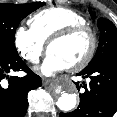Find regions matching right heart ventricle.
<instances>
[{"label": "right heart ventricle", "mask_w": 117, "mask_h": 117, "mask_svg": "<svg viewBox=\"0 0 117 117\" xmlns=\"http://www.w3.org/2000/svg\"><path fill=\"white\" fill-rule=\"evenodd\" d=\"M28 23L37 37L46 43L59 31L74 25L86 24L87 21L82 14L73 9L55 6L35 13Z\"/></svg>", "instance_id": "1"}]
</instances>
